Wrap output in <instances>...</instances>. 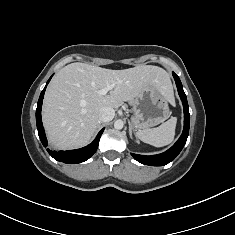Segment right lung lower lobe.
<instances>
[{"label":"right lung lower lobe","mask_w":235,"mask_h":235,"mask_svg":"<svg viewBox=\"0 0 235 235\" xmlns=\"http://www.w3.org/2000/svg\"><path fill=\"white\" fill-rule=\"evenodd\" d=\"M51 78L52 76L50 77V79ZM50 79L48 80L47 84L49 83ZM45 89H46V86L40 94L38 104H37V109H36V123H37L38 135L44 147L47 146V139H46L45 132L42 126L41 107H42V101H43ZM103 131L104 129H102L98 133L95 140L91 144L81 149L68 150V151H52V150L47 149V151L57 161H62L68 164L84 162L88 160L97 150L98 145H99V140Z\"/></svg>","instance_id":"right-lung-lower-lobe-1"}]
</instances>
